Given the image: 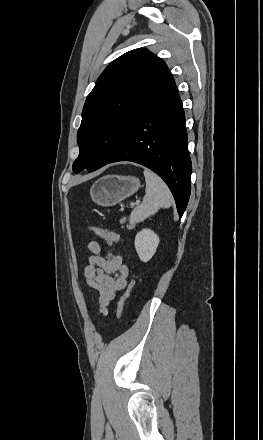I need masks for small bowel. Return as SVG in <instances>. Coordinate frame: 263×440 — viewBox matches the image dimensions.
Wrapping results in <instances>:
<instances>
[{"mask_svg":"<svg viewBox=\"0 0 263 440\" xmlns=\"http://www.w3.org/2000/svg\"><path fill=\"white\" fill-rule=\"evenodd\" d=\"M88 249L93 255L84 269V279L98 294L100 311L107 314L109 303L127 286L128 267L121 255L113 249H103L96 241L89 242Z\"/></svg>","mask_w":263,"mask_h":440,"instance_id":"1","label":"small bowel"}]
</instances>
